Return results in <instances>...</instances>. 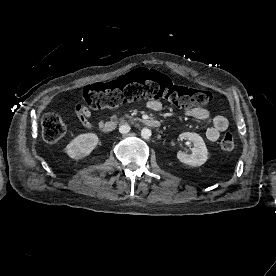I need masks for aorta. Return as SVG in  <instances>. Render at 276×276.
Returning <instances> with one entry per match:
<instances>
[{
  "label": "aorta",
  "mask_w": 276,
  "mask_h": 276,
  "mask_svg": "<svg viewBox=\"0 0 276 276\" xmlns=\"http://www.w3.org/2000/svg\"><path fill=\"white\" fill-rule=\"evenodd\" d=\"M152 133H151V130L148 129V128H143L141 130V136L142 138L144 139H149L151 137Z\"/></svg>",
  "instance_id": "obj_1"
}]
</instances>
